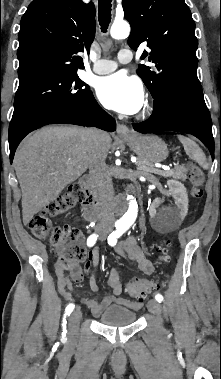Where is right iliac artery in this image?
Masks as SVG:
<instances>
[{"mask_svg": "<svg viewBox=\"0 0 221 379\" xmlns=\"http://www.w3.org/2000/svg\"><path fill=\"white\" fill-rule=\"evenodd\" d=\"M97 237H98L97 234H91L87 239V245L89 247H92L96 243ZM74 307H75V305L73 303H69L67 305V307L65 308L64 319H63L64 330H63L62 336H65V333H66V330H65L66 320H65V318H66V316H68L73 311Z\"/></svg>", "mask_w": 221, "mask_h": 379, "instance_id": "82829eb1", "label": "right iliac artery"}]
</instances>
